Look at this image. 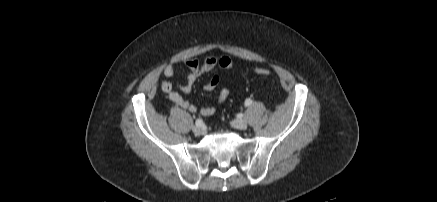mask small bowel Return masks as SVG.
Listing matches in <instances>:
<instances>
[{"instance_id":"c3829d8e","label":"small bowel","mask_w":437,"mask_h":202,"mask_svg":"<svg viewBox=\"0 0 437 202\" xmlns=\"http://www.w3.org/2000/svg\"><path fill=\"white\" fill-rule=\"evenodd\" d=\"M185 66L188 69L186 83L182 85H174L169 81H162L160 84L161 89L167 93L169 99L191 113H199L202 116H209L215 112V107H203L198 109L195 105L185 100L181 93L189 94L197 81V79L203 74L210 72L216 68L220 70H230L232 68V61L226 56L216 57L210 56L203 61H198L195 58H188L185 61ZM163 74L167 78H171L176 74V69L173 65L169 64L164 68ZM219 85V77L214 75L207 84L204 85V91H212ZM230 95V91L226 88L222 89L217 95V102L223 103Z\"/></svg>"}]
</instances>
